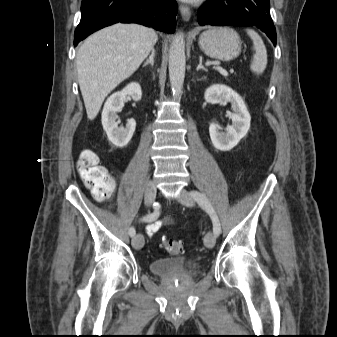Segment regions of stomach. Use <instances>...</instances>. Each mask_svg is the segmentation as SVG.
Returning a JSON list of instances; mask_svg holds the SVG:
<instances>
[{
  "label": "stomach",
  "mask_w": 337,
  "mask_h": 337,
  "mask_svg": "<svg viewBox=\"0 0 337 337\" xmlns=\"http://www.w3.org/2000/svg\"><path fill=\"white\" fill-rule=\"evenodd\" d=\"M200 49L209 57L230 61L241 52V40L233 29L212 27L199 37Z\"/></svg>",
  "instance_id": "obj_1"
}]
</instances>
